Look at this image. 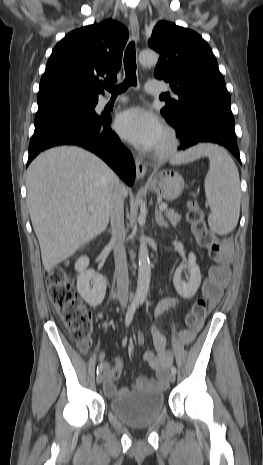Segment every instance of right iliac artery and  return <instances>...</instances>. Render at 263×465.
Segmentation results:
<instances>
[{"instance_id": "right-iliac-artery-1", "label": "right iliac artery", "mask_w": 263, "mask_h": 465, "mask_svg": "<svg viewBox=\"0 0 263 465\" xmlns=\"http://www.w3.org/2000/svg\"><path fill=\"white\" fill-rule=\"evenodd\" d=\"M137 305H138L137 302H132L131 306L129 307V309H128V311H127V314H126V318H125V324H126V326H129V324L131 323ZM102 370H103V364H99L98 367H97V375H98L99 373H101Z\"/></svg>"}]
</instances>
